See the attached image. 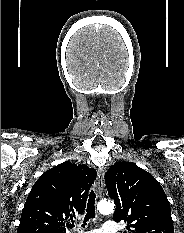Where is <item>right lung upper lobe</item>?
<instances>
[{
  "mask_svg": "<svg viewBox=\"0 0 184 233\" xmlns=\"http://www.w3.org/2000/svg\"><path fill=\"white\" fill-rule=\"evenodd\" d=\"M97 172L65 161L43 173L33 185L17 233H66L65 223L81 214Z\"/></svg>",
  "mask_w": 184,
  "mask_h": 233,
  "instance_id": "1",
  "label": "right lung upper lobe"
}]
</instances>
